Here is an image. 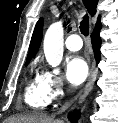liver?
Listing matches in <instances>:
<instances>
[{
  "instance_id": "6515ba94",
  "label": "liver",
  "mask_w": 118,
  "mask_h": 123,
  "mask_svg": "<svg viewBox=\"0 0 118 123\" xmlns=\"http://www.w3.org/2000/svg\"><path fill=\"white\" fill-rule=\"evenodd\" d=\"M4 123H63V121L55 120L53 117L43 114L33 113L10 117Z\"/></svg>"
}]
</instances>
